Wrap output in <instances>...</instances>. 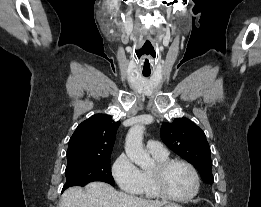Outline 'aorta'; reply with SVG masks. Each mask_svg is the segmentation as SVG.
<instances>
[{"instance_id": "aorta-1", "label": "aorta", "mask_w": 261, "mask_h": 207, "mask_svg": "<svg viewBox=\"0 0 261 207\" xmlns=\"http://www.w3.org/2000/svg\"><path fill=\"white\" fill-rule=\"evenodd\" d=\"M143 125L132 126L126 136L125 152L128 158L142 169H148L153 165L149 153L143 148Z\"/></svg>"}]
</instances>
